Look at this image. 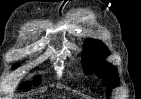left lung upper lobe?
Masks as SVG:
<instances>
[{"instance_id":"5c2ea615","label":"left lung upper lobe","mask_w":141,"mask_h":99,"mask_svg":"<svg viewBox=\"0 0 141 99\" xmlns=\"http://www.w3.org/2000/svg\"><path fill=\"white\" fill-rule=\"evenodd\" d=\"M83 53L84 73H98L108 89L119 83L117 69L105 61L109 55L107 47L98 40L90 39L86 42Z\"/></svg>"}]
</instances>
